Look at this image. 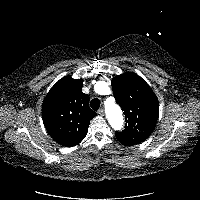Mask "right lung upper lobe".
I'll list each match as a JSON object with an SVG mask.
<instances>
[{"label":"right lung upper lobe","mask_w":200,"mask_h":200,"mask_svg":"<svg viewBox=\"0 0 200 200\" xmlns=\"http://www.w3.org/2000/svg\"><path fill=\"white\" fill-rule=\"evenodd\" d=\"M83 79L63 77L46 95L42 105L47 132L65 147L78 145L86 136L96 113L89 108V96L82 92Z\"/></svg>","instance_id":"cb5924a9"}]
</instances>
